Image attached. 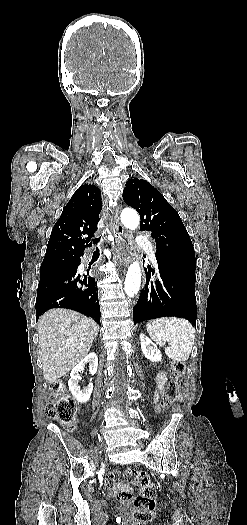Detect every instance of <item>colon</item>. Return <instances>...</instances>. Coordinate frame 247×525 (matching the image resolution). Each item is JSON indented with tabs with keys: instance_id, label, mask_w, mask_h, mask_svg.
Listing matches in <instances>:
<instances>
[{
	"instance_id": "5ec220e1",
	"label": "colon",
	"mask_w": 247,
	"mask_h": 525,
	"mask_svg": "<svg viewBox=\"0 0 247 525\" xmlns=\"http://www.w3.org/2000/svg\"><path fill=\"white\" fill-rule=\"evenodd\" d=\"M171 376L166 387V403L172 404L176 400L186 397L185 364L180 360H174L170 364ZM51 397L45 406V414L48 418L58 420L64 424L72 425L75 422L78 408L74 399L66 393L65 385L54 382L50 387ZM125 480L140 488L135 497V518L140 522H151L155 518V501L157 498V485L144 472L127 470Z\"/></svg>"
}]
</instances>
